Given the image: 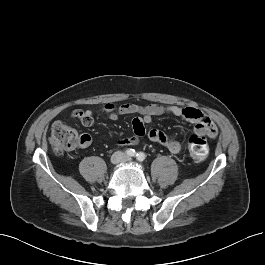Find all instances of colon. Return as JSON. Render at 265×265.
<instances>
[{
	"instance_id": "colon-1",
	"label": "colon",
	"mask_w": 265,
	"mask_h": 265,
	"mask_svg": "<svg viewBox=\"0 0 265 265\" xmlns=\"http://www.w3.org/2000/svg\"><path fill=\"white\" fill-rule=\"evenodd\" d=\"M50 141L53 151L62 155L76 149L82 143V136L76 130L63 123H55L51 129ZM191 157L196 161H203L209 152L206 139L198 134H192L188 140Z\"/></svg>"
}]
</instances>
